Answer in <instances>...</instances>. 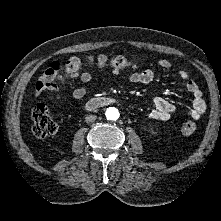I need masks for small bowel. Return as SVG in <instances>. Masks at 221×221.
<instances>
[{
    "label": "small bowel",
    "instance_id": "small-bowel-1",
    "mask_svg": "<svg viewBox=\"0 0 221 221\" xmlns=\"http://www.w3.org/2000/svg\"><path fill=\"white\" fill-rule=\"evenodd\" d=\"M157 66L161 69H170L172 67V63L170 60L166 58H160L156 62ZM119 70L112 69L113 74H117ZM178 77L185 82L186 90L192 95V101L190 109L188 110V116L194 120H199L202 118L205 110L206 103L203 99V93L199 88L198 84L191 79L190 73L185 68H178L177 70ZM70 79H79L85 84H90L93 81V75L88 71H78L75 73H70L64 76L62 79V83ZM155 79V73L151 69L137 71L136 66H133V71L129 75V80L133 83L137 84H149ZM38 83V82H37ZM88 92V88L86 86H80L71 92V97L74 100L83 99ZM41 91L37 88L34 92V95L39 96ZM59 99V97H57ZM177 107L174 103L166 100L162 97H155L152 100V106L147 111V116L151 119L158 121H167L177 113Z\"/></svg>",
    "mask_w": 221,
    "mask_h": 221
}]
</instances>
